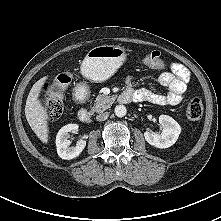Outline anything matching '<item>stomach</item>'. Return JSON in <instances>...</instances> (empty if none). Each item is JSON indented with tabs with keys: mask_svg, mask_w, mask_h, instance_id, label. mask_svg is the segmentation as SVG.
Segmentation results:
<instances>
[{
	"mask_svg": "<svg viewBox=\"0 0 221 221\" xmlns=\"http://www.w3.org/2000/svg\"><path fill=\"white\" fill-rule=\"evenodd\" d=\"M125 49L121 46L102 45L92 48L81 64V73L91 81L109 79L124 63Z\"/></svg>",
	"mask_w": 221,
	"mask_h": 221,
	"instance_id": "obj_1",
	"label": "stomach"
}]
</instances>
